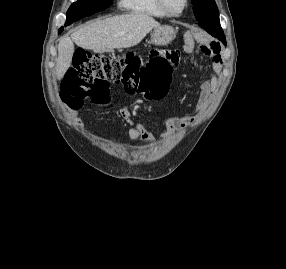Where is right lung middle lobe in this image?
Segmentation results:
<instances>
[{"label":"right lung middle lobe","instance_id":"dd1d6c3e","mask_svg":"<svg viewBox=\"0 0 286 269\" xmlns=\"http://www.w3.org/2000/svg\"><path fill=\"white\" fill-rule=\"evenodd\" d=\"M111 2L112 0H78L74 2L67 11L65 26L107 8ZM62 31L63 27L59 29V33Z\"/></svg>","mask_w":286,"mask_h":269}]
</instances>
